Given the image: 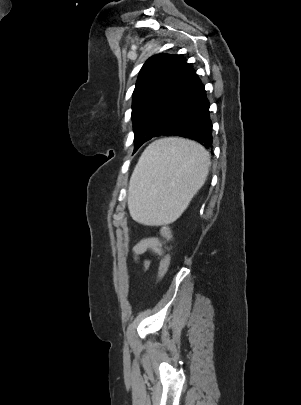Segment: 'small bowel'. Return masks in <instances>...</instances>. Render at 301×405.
Segmentation results:
<instances>
[{
	"label": "small bowel",
	"instance_id": "obj_1",
	"mask_svg": "<svg viewBox=\"0 0 301 405\" xmlns=\"http://www.w3.org/2000/svg\"><path fill=\"white\" fill-rule=\"evenodd\" d=\"M148 251H152L158 255H163L165 251L163 241L155 236L147 237L141 239L133 248V253L135 256H141ZM143 266L148 268L149 262L147 260L143 261Z\"/></svg>",
	"mask_w": 301,
	"mask_h": 405
}]
</instances>
